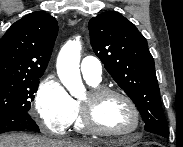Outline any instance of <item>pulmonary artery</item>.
Returning a JSON list of instances; mask_svg holds the SVG:
<instances>
[{
  "instance_id": "pulmonary-artery-1",
  "label": "pulmonary artery",
  "mask_w": 183,
  "mask_h": 147,
  "mask_svg": "<svg viewBox=\"0 0 183 147\" xmlns=\"http://www.w3.org/2000/svg\"><path fill=\"white\" fill-rule=\"evenodd\" d=\"M83 78L92 84H99L102 80V65L99 59L93 56L83 58L81 62Z\"/></svg>"
}]
</instances>
